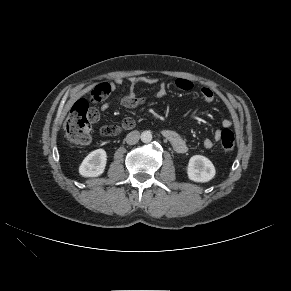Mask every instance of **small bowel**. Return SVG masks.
Segmentation results:
<instances>
[{
	"label": "small bowel",
	"instance_id": "small-bowel-1",
	"mask_svg": "<svg viewBox=\"0 0 291 291\" xmlns=\"http://www.w3.org/2000/svg\"><path fill=\"white\" fill-rule=\"evenodd\" d=\"M129 82L131 86H135L136 84L140 82L148 83V84H155L158 82V80L156 78H151V77H130ZM122 83H123V78L116 77L112 82L103 83L98 86H104L107 88L108 90L106 94L107 96L110 93H112L114 90H116L120 85H122ZM175 86L182 91H190L193 88V83L188 79L178 78L175 81ZM165 94H166V86L164 83H160L156 96L158 98H161ZM200 98L203 102L210 103L214 100V92L208 87H203L200 90ZM143 103H144V100L141 98H138L133 91H131L129 94H127L121 99V105L129 109L136 108L142 105ZM109 108H110L109 102H103L100 105L101 111H107ZM94 111H95L94 121H97L99 118V113L96 109H94ZM222 124H223V127L229 128L231 126V121L228 119H225ZM163 135L171 143L172 147L174 148L176 152L184 153L187 151L188 149L187 144L185 140L183 139V137L177 131L173 129H165L163 131ZM220 135H221V131H216L214 135V139L219 140ZM213 145H214V141L212 139H205L203 141V146L206 149L212 148Z\"/></svg>",
	"mask_w": 291,
	"mask_h": 291
}]
</instances>
